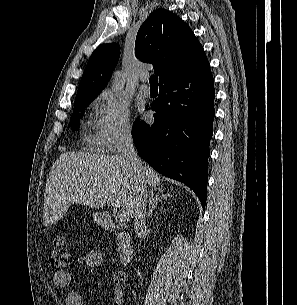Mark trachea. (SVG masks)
Wrapping results in <instances>:
<instances>
[{
	"label": "trachea",
	"instance_id": "obj_1",
	"mask_svg": "<svg viewBox=\"0 0 297 305\" xmlns=\"http://www.w3.org/2000/svg\"><path fill=\"white\" fill-rule=\"evenodd\" d=\"M149 83L151 86H158V77L156 75H151L149 78Z\"/></svg>",
	"mask_w": 297,
	"mask_h": 305
}]
</instances>
